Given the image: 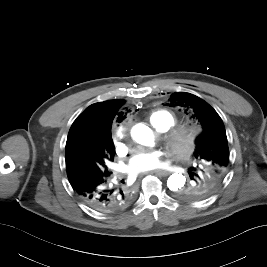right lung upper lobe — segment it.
<instances>
[{
  "instance_id": "obj_1",
  "label": "right lung upper lobe",
  "mask_w": 267,
  "mask_h": 267,
  "mask_svg": "<svg viewBox=\"0 0 267 267\" xmlns=\"http://www.w3.org/2000/svg\"><path fill=\"white\" fill-rule=\"evenodd\" d=\"M124 103V100L116 99L90 105L72 124L66 144L74 139L79 132L89 133L99 141L104 139L111 134V125L115 116L118 115L119 119H123V112H119V108Z\"/></svg>"
}]
</instances>
